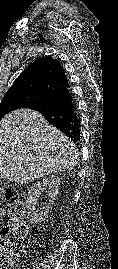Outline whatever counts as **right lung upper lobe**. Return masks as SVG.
Wrapping results in <instances>:
<instances>
[{"label": "right lung upper lobe", "instance_id": "cb5924a9", "mask_svg": "<svg viewBox=\"0 0 118 269\" xmlns=\"http://www.w3.org/2000/svg\"><path fill=\"white\" fill-rule=\"evenodd\" d=\"M69 86L59 60L41 57L30 64L16 79L5 95L24 94L28 100L25 108Z\"/></svg>", "mask_w": 118, "mask_h": 269}]
</instances>
